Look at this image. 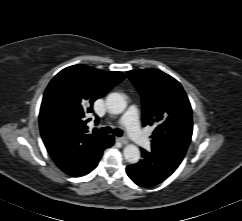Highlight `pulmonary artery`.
I'll list each match as a JSON object with an SVG mask.
<instances>
[{
    "label": "pulmonary artery",
    "instance_id": "e3ab8cb5",
    "mask_svg": "<svg viewBox=\"0 0 242 221\" xmlns=\"http://www.w3.org/2000/svg\"><path fill=\"white\" fill-rule=\"evenodd\" d=\"M119 123L124 125L129 136L139 146L147 148L149 140L145 137L138 124V111L135 107H130L127 112L120 118Z\"/></svg>",
    "mask_w": 242,
    "mask_h": 221
}]
</instances>
